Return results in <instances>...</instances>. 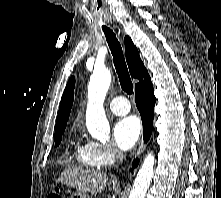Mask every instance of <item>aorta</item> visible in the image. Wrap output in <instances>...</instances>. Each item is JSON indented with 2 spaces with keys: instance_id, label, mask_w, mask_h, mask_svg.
<instances>
[{
  "instance_id": "obj_1",
  "label": "aorta",
  "mask_w": 221,
  "mask_h": 198,
  "mask_svg": "<svg viewBox=\"0 0 221 198\" xmlns=\"http://www.w3.org/2000/svg\"><path fill=\"white\" fill-rule=\"evenodd\" d=\"M110 83V72L96 69L93 71L88 84L86 126L91 136L100 141H107L110 135V125L103 108ZM154 165L155 156L153 153H148L135 178L129 198L145 197L153 176Z\"/></svg>"
}]
</instances>
